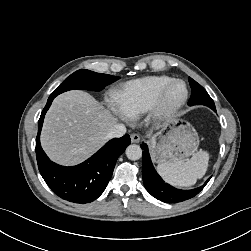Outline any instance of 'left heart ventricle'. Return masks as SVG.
<instances>
[{
	"mask_svg": "<svg viewBox=\"0 0 251 251\" xmlns=\"http://www.w3.org/2000/svg\"><path fill=\"white\" fill-rule=\"evenodd\" d=\"M184 94V87L181 84L174 85L166 96V102L169 104L179 101Z\"/></svg>",
	"mask_w": 251,
	"mask_h": 251,
	"instance_id": "left-heart-ventricle-1",
	"label": "left heart ventricle"
}]
</instances>
